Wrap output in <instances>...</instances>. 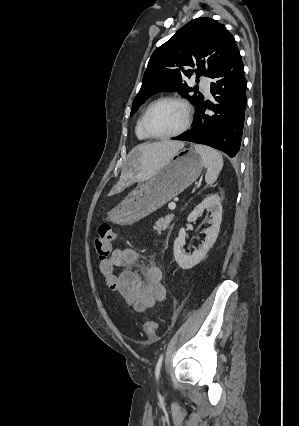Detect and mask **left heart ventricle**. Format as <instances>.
<instances>
[{
	"label": "left heart ventricle",
	"instance_id": "1",
	"mask_svg": "<svg viewBox=\"0 0 299 426\" xmlns=\"http://www.w3.org/2000/svg\"><path fill=\"white\" fill-rule=\"evenodd\" d=\"M185 121L183 107L175 102L157 105L148 119L149 129L158 135L170 134L182 127Z\"/></svg>",
	"mask_w": 299,
	"mask_h": 426
}]
</instances>
